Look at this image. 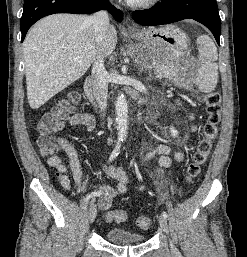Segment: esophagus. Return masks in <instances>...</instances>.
Returning <instances> with one entry per match:
<instances>
[{
    "mask_svg": "<svg viewBox=\"0 0 247 257\" xmlns=\"http://www.w3.org/2000/svg\"><path fill=\"white\" fill-rule=\"evenodd\" d=\"M125 29L128 32H135V31H137V29L135 27H133L132 25H130V24H127Z\"/></svg>",
    "mask_w": 247,
    "mask_h": 257,
    "instance_id": "obj_1",
    "label": "esophagus"
}]
</instances>
